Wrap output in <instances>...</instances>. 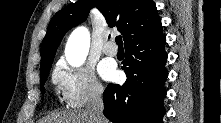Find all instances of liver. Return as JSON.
<instances>
[{
    "mask_svg": "<svg viewBox=\"0 0 221 123\" xmlns=\"http://www.w3.org/2000/svg\"><path fill=\"white\" fill-rule=\"evenodd\" d=\"M44 123H91V120L86 110H78L51 115Z\"/></svg>",
    "mask_w": 221,
    "mask_h": 123,
    "instance_id": "liver-1",
    "label": "liver"
}]
</instances>
